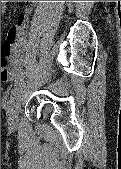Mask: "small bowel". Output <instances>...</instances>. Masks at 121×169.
Here are the masks:
<instances>
[{
	"instance_id": "small-bowel-1",
	"label": "small bowel",
	"mask_w": 121,
	"mask_h": 169,
	"mask_svg": "<svg viewBox=\"0 0 121 169\" xmlns=\"http://www.w3.org/2000/svg\"><path fill=\"white\" fill-rule=\"evenodd\" d=\"M8 2L1 1L2 14H5V4ZM30 11L31 9L27 8L25 13L17 17L16 25L10 28L7 40L1 48V80L4 82L14 80L23 73L27 60V27Z\"/></svg>"
}]
</instances>
